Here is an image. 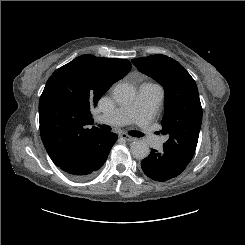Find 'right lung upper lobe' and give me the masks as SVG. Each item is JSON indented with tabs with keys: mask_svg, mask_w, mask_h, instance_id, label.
I'll return each instance as SVG.
<instances>
[{
	"mask_svg": "<svg viewBox=\"0 0 245 245\" xmlns=\"http://www.w3.org/2000/svg\"><path fill=\"white\" fill-rule=\"evenodd\" d=\"M130 69L125 59L82 55L50 76L39 101V122L43 144L56 165L100 132L87 128L93 123L90 110Z\"/></svg>",
	"mask_w": 245,
	"mask_h": 245,
	"instance_id": "right-lung-upper-lobe-1",
	"label": "right lung upper lobe"
}]
</instances>
